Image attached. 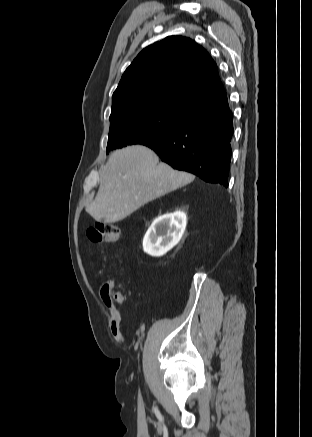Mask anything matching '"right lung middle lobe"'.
Here are the masks:
<instances>
[{
    "label": "right lung middle lobe",
    "mask_w": 312,
    "mask_h": 437,
    "mask_svg": "<svg viewBox=\"0 0 312 437\" xmlns=\"http://www.w3.org/2000/svg\"><path fill=\"white\" fill-rule=\"evenodd\" d=\"M192 114L193 111L162 102L130 104L112 111L107 152L157 140L177 130Z\"/></svg>",
    "instance_id": "dd1d6c3e"
}]
</instances>
